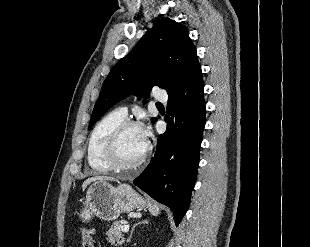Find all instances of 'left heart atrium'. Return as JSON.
Listing matches in <instances>:
<instances>
[{"instance_id":"1","label":"left heart atrium","mask_w":310,"mask_h":247,"mask_svg":"<svg viewBox=\"0 0 310 247\" xmlns=\"http://www.w3.org/2000/svg\"><path fill=\"white\" fill-rule=\"evenodd\" d=\"M145 133V136H146V138H147V133L146 132H144Z\"/></svg>"}]
</instances>
